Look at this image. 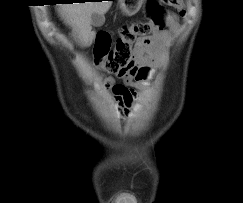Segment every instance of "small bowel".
Here are the masks:
<instances>
[{
	"label": "small bowel",
	"mask_w": 243,
	"mask_h": 203,
	"mask_svg": "<svg viewBox=\"0 0 243 203\" xmlns=\"http://www.w3.org/2000/svg\"><path fill=\"white\" fill-rule=\"evenodd\" d=\"M176 28V17L173 14H167L165 27L156 30L151 37L142 38L136 43L129 68L116 76L121 78L124 84L115 83L113 76L106 78L105 85L112 90L119 110L124 116L130 115L137 96L135 90L128 85L135 83L138 86H145L147 84L152 65L163 56L170 33Z\"/></svg>",
	"instance_id": "1"
}]
</instances>
